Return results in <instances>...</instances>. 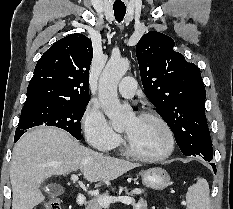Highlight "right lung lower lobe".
<instances>
[{
	"label": "right lung lower lobe",
	"instance_id": "right-lung-lower-lobe-1",
	"mask_svg": "<svg viewBox=\"0 0 233 209\" xmlns=\"http://www.w3.org/2000/svg\"><path fill=\"white\" fill-rule=\"evenodd\" d=\"M22 135H15L14 142H17Z\"/></svg>",
	"mask_w": 233,
	"mask_h": 209
}]
</instances>
